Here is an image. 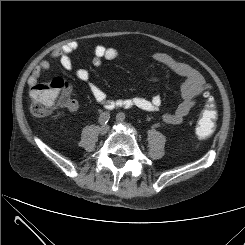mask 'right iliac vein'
I'll return each instance as SVG.
<instances>
[{"label": "right iliac vein", "mask_w": 245, "mask_h": 245, "mask_svg": "<svg viewBox=\"0 0 245 245\" xmlns=\"http://www.w3.org/2000/svg\"><path fill=\"white\" fill-rule=\"evenodd\" d=\"M109 131V126L106 124H103L102 126H100L99 128V133L101 135H105L107 132Z\"/></svg>", "instance_id": "right-iliac-vein-1"}]
</instances>
